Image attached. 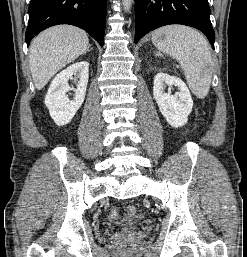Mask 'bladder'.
Here are the masks:
<instances>
[{
	"mask_svg": "<svg viewBox=\"0 0 247 257\" xmlns=\"http://www.w3.org/2000/svg\"><path fill=\"white\" fill-rule=\"evenodd\" d=\"M136 230H137V227H135V226H130V227L124 228V229H123V232H124V233H132V232H134V231H136Z\"/></svg>",
	"mask_w": 247,
	"mask_h": 257,
	"instance_id": "bladder-1",
	"label": "bladder"
}]
</instances>
